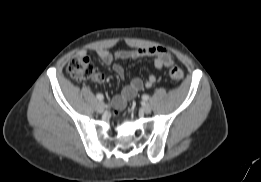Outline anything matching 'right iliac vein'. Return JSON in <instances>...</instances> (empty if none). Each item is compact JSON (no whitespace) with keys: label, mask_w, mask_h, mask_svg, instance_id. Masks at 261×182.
<instances>
[{"label":"right iliac vein","mask_w":261,"mask_h":182,"mask_svg":"<svg viewBox=\"0 0 261 182\" xmlns=\"http://www.w3.org/2000/svg\"><path fill=\"white\" fill-rule=\"evenodd\" d=\"M96 109L98 112H103L105 110V104L103 102H98L96 105Z\"/></svg>","instance_id":"right-iliac-vein-1"}]
</instances>
